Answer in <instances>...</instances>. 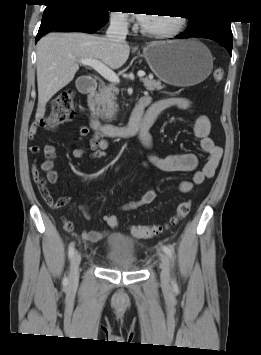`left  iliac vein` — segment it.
I'll return each mask as SVG.
<instances>
[{
  "label": "left iliac vein",
  "instance_id": "1",
  "mask_svg": "<svg viewBox=\"0 0 261 355\" xmlns=\"http://www.w3.org/2000/svg\"><path fill=\"white\" fill-rule=\"evenodd\" d=\"M161 283L163 285H169L171 280V269H170V261L167 255H161Z\"/></svg>",
  "mask_w": 261,
  "mask_h": 355
}]
</instances>
